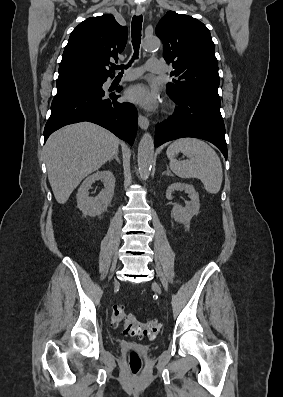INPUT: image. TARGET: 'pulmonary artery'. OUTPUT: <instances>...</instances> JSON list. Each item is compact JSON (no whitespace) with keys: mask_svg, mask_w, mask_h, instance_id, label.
<instances>
[{"mask_svg":"<svg viewBox=\"0 0 283 397\" xmlns=\"http://www.w3.org/2000/svg\"><path fill=\"white\" fill-rule=\"evenodd\" d=\"M146 70L152 73H163L165 71L162 62L157 58H150L146 64ZM142 73L141 68L129 70L122 78V81H131L138 78Z\"/></svg>","mask_w":283,"mask_h":397,"instance_id":"pulmonary-artery-1","label":"pulmonary artery"}]
</instances>
